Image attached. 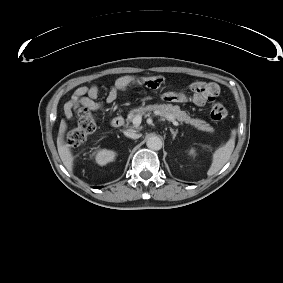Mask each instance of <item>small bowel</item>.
Instances as JSON below:
<instances>
[{
	"label": "small bowel",
	"instance_id": "c3829d8e",
	"mask_svg": "<svg viewBox=\"0 0 283 283\" xmlns=\"http://www.w3.org/2000/svg\"><path fill=\"white\" fill-rule=\"evenodd\" d=\"M163 78L155 76L146 80L148 85L157 87L161 85ZM139 83V77L136 75H124L119 77L108 89L105 97V103L114 102L120 91ZM192 101L197 106H202L215 99L219 92L218 84L214 82H196L192 84ZM99 87L97 85L78 87L71 98L64 105L65 116L70 119L79 107H87L92 110H98L103 106V102L98 101ZM165 97V98H164ZM166 102H183L186 97L175 92H168L163 95Z\"/></svg>",
	"mask_w": 283,
	"mask_h": 283
}]
</instances>
